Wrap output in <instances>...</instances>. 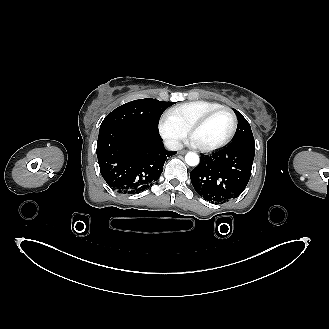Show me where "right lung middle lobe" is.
Masks as SVG:
<instances>
[{
	"label": "right lung middle lobe",
	"instance_id": "right-lung-middle-lobe-1",
	"mask_svg": "<svg viewBox=\"0 0 329 329\" xmlns=\"http://www.w3.org/2000/svg\"><path fill=\"white\" fill-rule=\"evenodd\" d=\"M176 102L140 99L128 102L113 110L103 120L100 128L110 125L130 126L158 131L162 112Z\"/></svg>",
	"mask_w": 329,
	"mask_h": 329
}]
</instances>
